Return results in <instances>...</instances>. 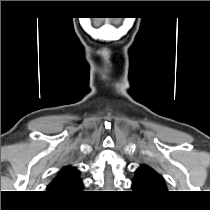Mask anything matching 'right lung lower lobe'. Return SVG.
<instances>
[{"label":"right lung lower lobe","mask_w":210,"mask_h":210,"mask_svg":"<svg viewBox=\"0 0 210 210\" xmlns=\"http://www.w3.org/2000/svg\"><path fill=\"white\" fill-rule=\"evenodd\" d=\"M77 194H75V195H68V196H61V197H63V198H73V197H75Z\"/></svg>","instance_id":"right-lung-lower-lobe-1"}]
</instances>
